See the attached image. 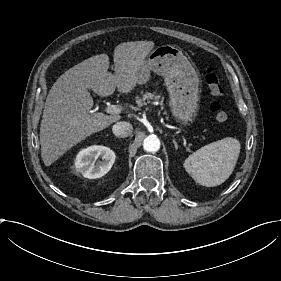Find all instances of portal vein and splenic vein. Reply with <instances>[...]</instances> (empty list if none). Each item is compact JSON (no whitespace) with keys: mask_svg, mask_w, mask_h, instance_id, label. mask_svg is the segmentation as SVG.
Here are the masks:
<instances>
[{"mask_svg":"<svg viewBox=\"0 0 281 281\" xmlns=\"http://www.w3.org/2000/svg\"><path fill=\"white\" fill-rule=\"evenodd\" d=\"M105 111L112 115L121 113V109L117 105H113L110 103L107 104Z\"/></svg>","mask_w":281,"mask_h":281,"instance_id":"1","label":"portal vein and splenic vein"}]
</instances>
